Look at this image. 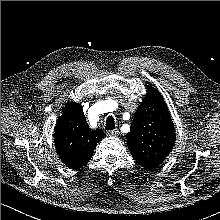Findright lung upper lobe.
I'll return each mask as SVG.
<instances>
[{
  "mask_svg": "<svg viewBox=\"0 0 220 220\" xmlns=\"http://www.w3.org/2000/svg\"><path fill=\"white\" fill-rule=\"evenodd\" d=\"M54 131L59 157L73 169L80 168L91 159L97 143L104 137L102 130L89 128L82 106L74 102L64 107Z\"/></svg>",
  "mask_w": 220,
  "mask_h": 220,
  "instance_id": "right-lung-upper-lobe-1",
  "label": "right lung upper lobe"
}]
</instances>
